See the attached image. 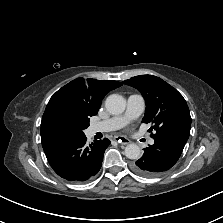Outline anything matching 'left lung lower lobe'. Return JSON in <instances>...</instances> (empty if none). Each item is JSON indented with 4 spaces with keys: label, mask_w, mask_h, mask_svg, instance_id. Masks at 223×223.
Instances as JSON below:
<instances>
[{
    "label": "left lung lower lobe",
    "mask_w": 223,
    "mask_h": 223,
    "mask_svg": "<svg viewBox=\"0 0 223 223\" xmlns=\"http://www.w3.org/2000/svg\"><path fill=\"white\" fill-rule=\"evenodd\" d=\"M143 156L132 164V170L143 177H154L169 170L179 159L185 143L173 138L154 139Z\"/></svg>",
    "instance_id": "obj_1"
}]
</instances>
